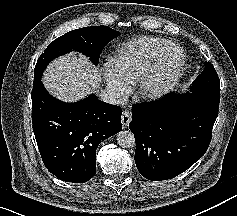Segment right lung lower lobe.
Masks as SVG:
<instances>
[{
	"mask_svg": "<svg viewBox=\"0 0 237 216\" xmlns=\"http://www.w3.org/2000/svg\"><path fill=\"white\" fill-rule=\"evenodd\" d=\"M32 123L46 168L56 177L84 183L96 174L99 143L122 130V109L90 95L76 103L52 97L41 80L34 83Z\"/></svg>",
	"mask_w": 237,
	"mask_h": 216,
	"instance_id": "obj_1",
	"label": "right lung lower lobe"
}]
</instances>
